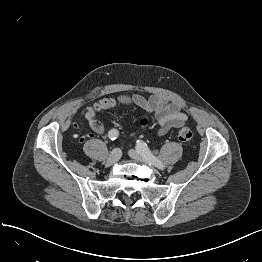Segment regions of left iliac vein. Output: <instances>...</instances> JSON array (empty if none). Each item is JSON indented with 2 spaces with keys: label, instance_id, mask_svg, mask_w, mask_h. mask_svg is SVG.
<instances>
[{
  "label": "left iliac vein",
  "instance_id": "1",
  "mask_svg": "<svg viewBox=\"0 0 262 262\" xmlns=\"http://www.w3.org/2000/svg\"><path fill=\"white\" fill-rule=\"evenodd\" d=\"M129 156L140 163L151 166V164L136 150L131 149L129 151Z\"/></svg>",
  "mask_w": 262,
  "mask_h": 262
}]
</instances>
